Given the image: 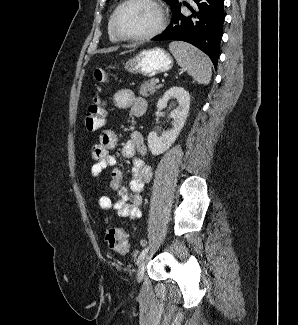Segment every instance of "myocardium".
Listing matches in <instances>:
<instances>
[{"mask_svg":"<svg viewBox=\"0 0 298 325\" xmlns=\"http://www.w3.org/2000/svg\"><path fill=\"white\" fill-rule=\"evenodd\" d=\"M131 4H144L152 8L157 17L156 25L147 33L140 35L135 38H125L117 29V19L120 12L128 5ZM165 24V16L161 6L155 2L154 0H127L121 3L116 10L114 11L111 18V30L113 35L117 38V40L121 43H140L144 41H148L158 35L164 28Z\"/></svg>","mask_w":298,"mask_h":325,"instance_id":"obj_1","label":"myocardium"}]
</instances>
